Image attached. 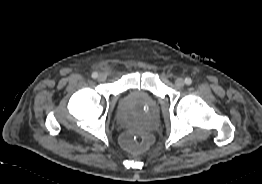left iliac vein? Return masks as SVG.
<instances>
[{
    "instance_id": "obj_1",
    "label": "left iliac vein",
    "mask_w": 262,
    "mask_h": 184,
    "mask_svg": "<svg viewBox=\"0 0 262 184\" xmlns=\"http://www.w3.org/2000/svg\"><path fill=\"white\" fill-rule=\"evenodd\" d=\"M175 85L178 87H183L185 85V81L183 78H177L175 80Z\"/></svg>"
}]
</instances>
